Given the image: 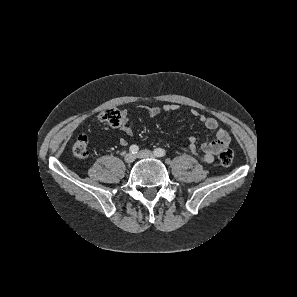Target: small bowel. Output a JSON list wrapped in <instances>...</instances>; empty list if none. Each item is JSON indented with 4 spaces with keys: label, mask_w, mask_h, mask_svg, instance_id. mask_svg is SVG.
Listing matches in <instances>:
<instances>
[{
    "label": "small bowel",
    "mask_w": 297,
    "mask_h": 297,
    "mask_svg": "<svg viewBox=\"0 0 297 297\" xmlns=\"http://www.w3.org/2000/svg\"><path fill=\"white\" fill-rule=\"evenodd\" d=\"M177 108L178 107L175 104H167L162 109L160 107H150L147 112L149 116L154 117L159 115L162 110L166 112H172L177 110ZM191 115L197 118L200 122H202L207 129L211 131H216V133L212 139L207 140L203 143L201 151L197 149L195 139L193 137L189 138L188 145L184 148V150L198 157L205 163H212L214 161L215 156L223 148L228 146V144L230 143V136L225 130L219 129V124L216 118L206 116L205 114L200 113L197 110H192ZM120 130L127 136L133 135V126L127 121H125L121 125ZM119 144L125 146L128 144V141L126 138H120Z\"/></svg>",
    "instance_id": "small-bowel-1"
}]
</instances>
